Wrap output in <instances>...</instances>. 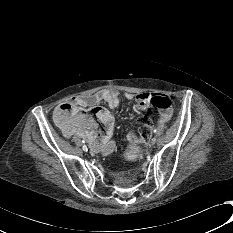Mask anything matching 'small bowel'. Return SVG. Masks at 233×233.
<instances>
[{"mask_svg":"<svg viewBox=\"0 0 233 233\" xmlns=\"http://www.w3.org/2000/svg\"><path fill=\"white\" fill-rule=\"evenodd\" d=\"M153 96L154 95L147 92L133 94L117 90H102L94 94L74 97L70 99L68 103L75 108L76 113L74 115H78L80 117V115H84L82 110L85 108H95L99 107L101 104L107 105L109 108H116L120 104L121 97H123L124 99L135 103L134 107L137 112H142L149 106L150 99ZM168 117V113L160 112L159 121L164 122ZM101 123L104 126L103 134L97 132L96 123L91 117L87 118V123L84 126L79 125L78 120L72 121L71 125L68 127L57 124L61 127L66 137H70L75 134L79 135L89 143L93 153L107 155L110 154L115 147V143L113 141L115 124L111 114L107 119L101 120ZM124 158L129 163H136L141 158V151L136 146H129L124 151Z\"/></svg>","mask_w":233,"mask_h":233,"instance_id":"c3829d8e","label":"small bowel"}]
</instances>
